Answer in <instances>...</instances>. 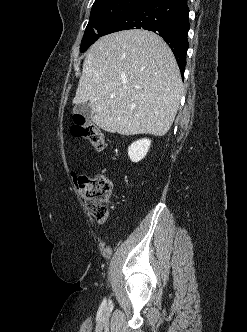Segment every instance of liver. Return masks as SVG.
Listing matches in <instances>:
<instances>
[{
	"label": "liver",
	"mask_w": 247,
	"mask_h": 332,
	"mask_svg": "<svg viewBox=\"0 0 247 332\" xmlns=\"http://www.w3.org/2000/svg\"><path fill=\"white\" fill-rule=\"evenodd\" d=\"M183 94L175 57L166 42L147 30L99 38L85 57L73 103H87L92 121L121 135L163 136Z\"/></svg>",
	"instance_id": "1"
}]
</instances>
